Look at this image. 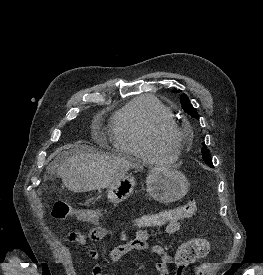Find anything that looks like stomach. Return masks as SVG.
Returning <instances> with one entry per match:
<instances>
[{"instance_id": "1", "label": "stomach", "mask_w": 263, "mask_h": 275, "mask_svg": "<svg viewBox=\"0 0 263 275\" xmlns=\"http://www.w3.org/2000/svg\"><path fill=\"white\" fill-rule=\"evenodd\" d=\"M140 167H135V171ZM133 172L108 187L107 198L112 203L126 200L134 191L136 179ZM147 192L161 203H171L181 199L188 192L189 182L186 176L170 166L153 167L146 178Z\"/></svg>"}]
</instances>
